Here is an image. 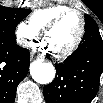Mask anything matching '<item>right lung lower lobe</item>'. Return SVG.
Here are the masks:
<instances>
[{
    "instance_id": "1",
    "label": "right lung lower lobe",
    "mask_w": 103,
    "mask_h": 103,
    "mask_svg": "<svg viewBox=\"0 0 103 103\" xmlns=\"http://www.w3.org/2000/svg\"><path fill=\"white\" fill-rule=\"evenodd\" d=\"M30 54L16 41L0 40V103H12L16 89L28 73Z\"/></svg>"
}]
</instances>
